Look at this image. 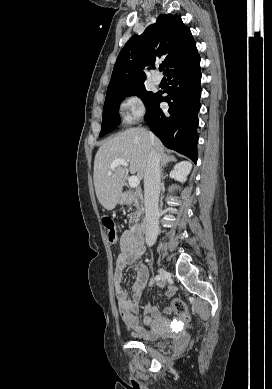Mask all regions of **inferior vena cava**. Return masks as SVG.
Masks as SVG:
<instances>
[{"mask_svg":"<svg viewBox=\"0 0 272 389\" xmlns=\"http://www.w3.org/2000/svg\"><path fill=\"white\" fill-rule=\"evenodd\" d=\"M160 154L151 148L144 174L145 236L146 244L152 246L159 230Z\"/></svg>","mask_w":272,"mask_h":389,"instance_id":"obj_1","label":"inferior vena cava"}]
</instances>
